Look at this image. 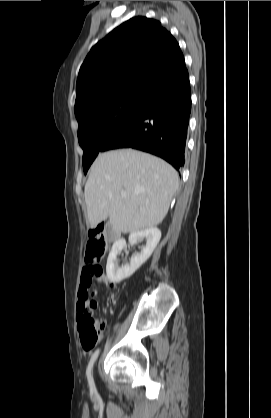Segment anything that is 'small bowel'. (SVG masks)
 <instances>
[{"label":"small bowel","instance_id":"c3829d8e","mask_svg":"<svg viewBox=\"0 0 271 418\" xmlns=\"http://www.w3.org/2000/svg\"><path fill=\"white\" fill-rule=\"evenodd\" d=\"M86 275H87V264L85 265V267H84V269H83V271H82V275H81V284H80V290H79V293H78V298H79V301H78V305H77V309H78V316H79V313L81 312V310L84 308V312L85 313H90L91 312V308H92V310L94 309V308H96L97 307V302L96 301H94V300H89L88 302H85L84 300H83V298H82V295H83V293L86 291V289L89 287V285L87 286L85 283H84V278L86 277ZM99 282H101V283H105L106 285H108V286H112V283L109 281V280H107L106 279V277L103 275V276H101L100 278H98L97 279ZM94 294V293H93ZM112 298V297H111ZM84 304H87L88 306H85L84 307Z\"/></svg>","mask_w":271,"mask_h":418}]
</instances>
